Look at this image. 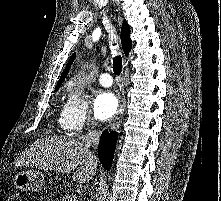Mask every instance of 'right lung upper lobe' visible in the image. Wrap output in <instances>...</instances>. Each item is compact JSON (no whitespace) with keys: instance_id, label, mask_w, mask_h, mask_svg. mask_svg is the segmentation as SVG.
Listing matches in <instances>:
<instances>
[{"instance_id":"right-lung-upper-lobe-1","label":"right lung upper lobe","mask_w":221,"mask_h":201,"mask_svg":"<svg viewBox=\"0 0 221 201\" xmlns=\"http://www.w3.org/2000/svg\"><path fill=\"white\" fill-rule=\"evenodd\" d=\"M121 43H122V47H123L124 53L127 56L128 52L132 48V41L130 39V27L126 23V21H124L122 29H121ZM74 58H75V54H73V56L69 60V63L67 64L65 70L63 71V73H62V75H61V77H60V79L58 81V85H57L56 90L59 88V86L62 84L63 80L67 76L68 71L70 69V65H71L72 61L74 60Z\"/></svg>"}]
</instances>
